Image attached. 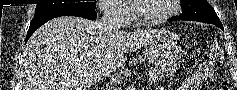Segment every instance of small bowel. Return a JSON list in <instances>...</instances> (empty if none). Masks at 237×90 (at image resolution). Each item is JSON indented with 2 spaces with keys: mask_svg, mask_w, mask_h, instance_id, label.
I'll return each mask as SVG.
<instances>
[{
  "mask_svg": "<svg viewBox=\"0 0 237 90\" xmlns=\"http://www.w3.org/2000/svg\"><path fill=\"white\" fill-rule=\"evenodd\" d=\"M213 75V66L209 63L202 64L198 70L185 80L180 90H200L204 81Z\"/></svg>",
  "mask_w": 237,
  "mask_h": 90,
  "instance_id": "small-bowel-1",
  "label": "small bowel"
}]
</instances>
